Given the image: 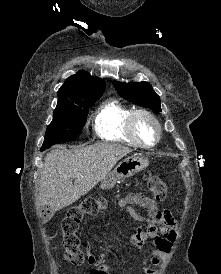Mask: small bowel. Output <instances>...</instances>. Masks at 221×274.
I'll use <instances>...</instances> for the list:
<instances>
[{"mask_svg": "<svg viewBox=\"0 0 221 274\" xmlns=\"http://www.w3.org/2000/svg\"><path fill=\"white\" fill-rule=\"evenodd\" d=\"M134 205L143 208L146 212L141 215L134 209ZM119 206L125 209L135 220L145 227H137L130 236V244L142 250L148 241H152L153 249L150 258L142 261L144 274H154V266L166 258L174 247L177 225L174 217L168 210H160L155 202L142 193H129L120 199ZM88 262L93 267L89 274H117V270L106 265V255H96L90 246H87Z\"/></svg>", "mask_w": 221, "mask_h": 274, "instance_id": "1", "label": "small bowel"}]
</instances>
